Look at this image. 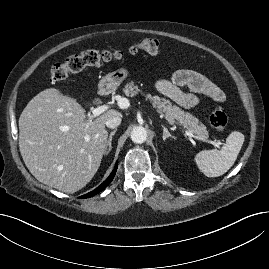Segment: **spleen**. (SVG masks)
I'll use <instances>...</instances> for the list:
<instances>
[{
	"label": "spleen",
	"instance_id": "spleen-1",
	"mask_svg": "<svg viewBox=\"0 0 269 269\" xmlns=\"http://www.w3.org/2000/svg\"><path fill=\"white\" fill-rule=\"evenodd\" d=\"M244 139V135L241 132L232 131L220 150L212 149L200 151L195 156V162L205 176H222L234 165L244 143Z\"/></svg>",
	"mask_w": 269,
	"mask_h": 269
}]
</instances>
